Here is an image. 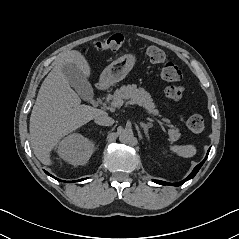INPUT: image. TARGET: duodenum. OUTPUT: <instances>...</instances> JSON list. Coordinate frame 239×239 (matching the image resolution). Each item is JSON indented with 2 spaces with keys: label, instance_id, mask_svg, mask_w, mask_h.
I'll return each instance as SVG.
<instances>
[{
  "label": "duodenum",
  "instance_id": "410a0bca",
  "mask_svg": "<svg viewBox=\"0 0 239 239\" xmlns=\"http://www.w3.org/2000/svg\"><path fill=\"white\" fill-rule=\"evenodd\" d=\"M96 90H97V92H101L103 90V88L101 86H97Z\"/></svg>",
  "mask_w": 239,
  "mask_h": 239
}]
</instances>
